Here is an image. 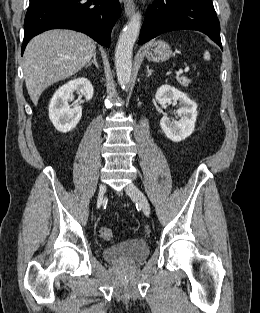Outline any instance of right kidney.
Instances as JSON below:
<instances>
[{
    "label": "right kidney",
    "mask_w": 260,
    "mask_h": 313,
    "mask_svg": "<svg viewBox=\"0 0 260 313\" xmlns=\"http://www.w3.org/2000/svg\"><path fill=\"white\" fill-rule=\"evenodd\" d=\"M80 92L89 101L93 97V86L86 78L71 80L61 86L53 95L49 104V118L54 127L62 133L71 131L76 127L82 117V106L70 108L68 101L73 92Z\"/></svg>",
    "instance_id": "1"
}]
</instances>
